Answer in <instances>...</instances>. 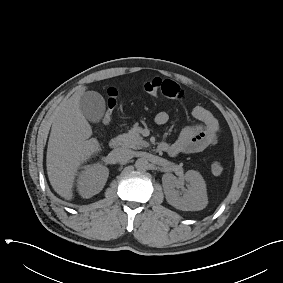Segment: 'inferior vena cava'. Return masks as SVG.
Masks as SVG:
<instances>
[{
  "mask_svg": "<svg viewBox=\"0 0 283 283\" xmlns=\"http://www.w3.org/2000/svg\"><path fill=\"white\" fill-rule=\"evenodd\" d=\"M133 155L134 152L126 148H117L111 152L113 163L128 161L133 157Z\"/></svg>",
  "mask_w": 283,
  "mask_h": 283,
  "instance_id": "inferior-vena-cava-1",
  "label": "inferior vena cava"
}]
</instances>
